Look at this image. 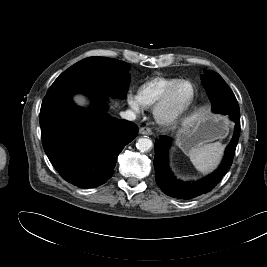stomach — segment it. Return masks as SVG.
Wrapping results in <instances>:
<instances>
[{"instance_id":"obj_1","label":"stomach","mask_w":267,"mask_h":267,"mask_svg":"<svg viewBox=\"0 0 267 267\" xmlns=\"http://www.w3.org/2000/svg\"><path fill=\"white\" fill-rule=\"evenodd\" d=\"M229 121L225 116L201 111L188 118L177 133V144L189 153L205 143L226 137Z\"/></svg>"}]
</instances>
